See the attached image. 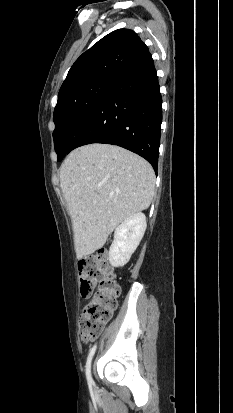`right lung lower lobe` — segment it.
<instances>
[{
  "label": "right lung lower lobe",
  "instance_id": "obj_1",
  "mask_svg": "<svg viewBox=\"0 0 233 413\" xmlns=\"http://www.w3.org/2000/svg\"><path fill=\"white\" fill-rule=\"evenodd\" d=\"M150 53L120 74L87 119L72 146H121L145 158L157 172L162 97Z\"/></svg>",
  "mask_w": 233,
  "mask_h": 413
}]
</instances>
